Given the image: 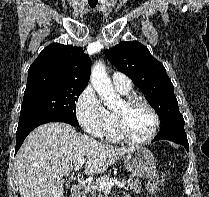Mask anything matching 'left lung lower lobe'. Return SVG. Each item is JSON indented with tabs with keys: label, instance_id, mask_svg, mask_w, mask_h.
Returning <instances> with one entry per match:
<instances>
[{
	"label": "left lung lower lobe",
	"instance_id": "left-lung-lower-lobe-1",
	"mask_svg": "<svg viewBox=\"0 0 209 197\" xmlns=\"http://www.w3.org/2000/svg\"><path fill=\"white\" fill-rule=\"evenodd\" d=\"M157 140H170L177 144L183 145L187 151L189 150V144L184 126H173L165 129L164 131H160L159 134L153 139V141Z\"/></svg>",
	"mask_w": 209,
	"mask_h": 197
}]
</instances>
